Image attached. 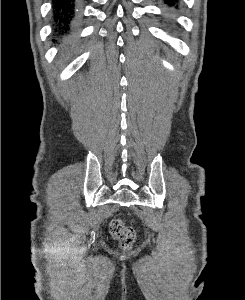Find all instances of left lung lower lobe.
<instances>
[{
  "instance_id": "1",
  "label": "left lung lower lobe",
  "mask_w": 245,
  "mask_h": 300,
  "mask_svg": "<svg viewBox=\"0 0 245 300\" xmlns=\"http://www.w3.org/2000/svg\"><path fill=\"white\" fill-rule=\"evenodd\" d=\"M165 2L171 7H177L179 0H165Z\"/></svg>"
}]
</instances>
